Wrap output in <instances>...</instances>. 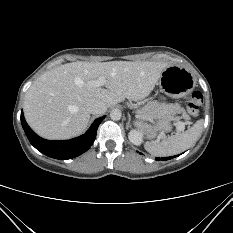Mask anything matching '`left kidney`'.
<instances>
[{"mask_svg": "<svg viewBox=\"0 0 233 233\" xmlns=\"http://www.w3.org/2000/svg\"><path fill=\"white\" fill-rule=\"evenodd\" d=\"M142 132L137 130H131L128 134V138L130 142H132L134 145H140L142 142Z\"/></svg>", "mask_w": 233, "mask_h": 233, "instance_id": "1", "label": "left kidney"}]
</instances>
